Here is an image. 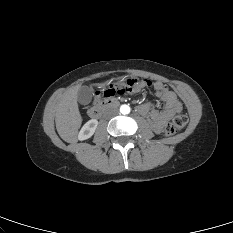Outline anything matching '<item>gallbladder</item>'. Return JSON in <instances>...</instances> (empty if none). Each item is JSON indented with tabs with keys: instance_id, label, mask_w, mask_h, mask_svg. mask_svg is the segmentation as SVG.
<instances>
[{
	"instance_id": "bac80fb5",
	"label": "gallbladder",
	"mask_w": 233,
	"mask_h": 233,
	"mask_svg": "<svg viewBox=\"0 0 233 233\" xmlns=\"http://www.w3.org/2000/svg\"><path fill=\"white\" fill-rule=\"evenodd\" d=\"M92 91L88 86H82L77 93V100L80 104L86 105L91 102Z\"/></svg>"
}]
</instances>
